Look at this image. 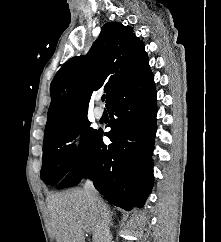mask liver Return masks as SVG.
Wrapping results in <instances>:
<instances>
[{
	"mask_svg": "<svg viewBox=\"0 0 221 242\" xmlns=\"http://www.w3.org/2000/svg\"><path fill=\"white\" fill-rule=\"evenodd\" d=\"M48 231L56 242H85L84 228L96 230V217L84 189H73L47 198Z\"/></svg>",
	"mask_w": 221,
	"mask_h": 242,
	"instance_id": "6515ba94",
	"label": "liver"
}]
</instances>
